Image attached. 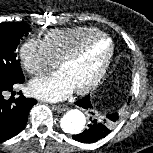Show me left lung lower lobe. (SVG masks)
Returning <instances> with one entry per match:
<instances>
[{
	"instance_id": "1",
	"label": "left lung lower lobe",
	"mask_w": 153,
	"mask_h": 153,
	"mask_svg": "<svg viewBox=\"0 0 153 153\" xmlns=\"http://www.w3.org/2000/svg\"><path fill=\"white\" fill-rule=\"evenodd\" d=\"M130 99L128 100V103L130 102ZM75 104H77L80 107L86 108V109H92V105L90 102V95L85 96L81 100L77 101ZM92 117H90L91 123L88 125V129H86L84 132L73 135V138L76 141L84 142V143H92L95 141H98L99 139L105 137L110 133V129L112 127L109 126L108 120H100L96 119L94 117L93 112H91ZM112 122H116L119 119V113L114 112L107 116Z\"/></svg>"
}]
</instances>
